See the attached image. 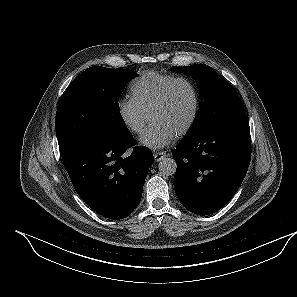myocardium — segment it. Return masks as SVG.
<instances>
[{"label":"myocardium","mask_w":297,"mask_h":297,"mask_svg":"<svg viewBox=\"0 0 297 297\" xmlns=\"http://www.w3.org/2000/svg\"><path fill=\"white\" fill-rule=\"evenodd\" d=\"M185 83L186 85H188V87L191 90L192 96H193V109H192V113L190 115V118L188 119V121L186 122V124L175 134L177 137H181L186 135L194 126L198 115H199V110H200V97H199V92L198 89L196 87V85L194 84V82L192 80H190L187 77L184 76H178L173 78L170 82H168L166 84V86L163 88L160 96L158 97V99L156 100V102L154 103V105L152 106L150 112H149V118H151V115L159 110L160 108H162L168 98L169 95L171 93L172 88L177 84V83Z\"/></svg>","instance_id":"myocardium-1"}]
</instances>
